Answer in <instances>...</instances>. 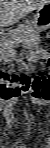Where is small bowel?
Segmentation results:
<instances>
[{
  "instance_id": "obj_1",
  "label": "small bowel",
  "mask_w": 50,
  "mask_h": 148,
  "mask_svg": "<svg viewBox=\"0 0 50 148\" xmlns=\"http://www.w3.org/2000/svg\"><path fill=\"white\" fill-rule=\"evenodd\" d=\"M3 114L9 124H12V118L15 113V107L10 104L3 105ZM14 147L26 148L25 145H16ZM49 147V146H48Z\"/></svg>"
}]
</instances>
